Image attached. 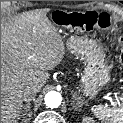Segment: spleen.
<instances>
[{"instance_id": "1", "label": "spleen", "mask_w": 123, "mask_h": 123, "mask_svg": "<svg viewBox=\"0 0 123 123\" xmlns=\"http://www.w3.org/2000/svg\"><path fill=\"white\" fill-rule=\"evenodd\" d=\"M120 99L123 101V93ZM93 115L102 123H123V103L118 108H107L103 105L91 107Z\"/></svg>"}]
</instances>
